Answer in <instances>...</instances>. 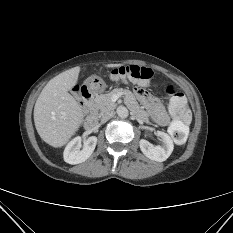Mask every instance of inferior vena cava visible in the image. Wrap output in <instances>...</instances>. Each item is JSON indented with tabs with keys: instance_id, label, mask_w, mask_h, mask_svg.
I'll return each instance as SVG.
<instances>
[{
	"instance_id": "602c4592",
	"label": "inferior vena cava",
	"mask_w": 233,
	"mask_h": 233,
	"mask_svg": "<svg viewBox=\"0 0 233 233\" xmlns=\"http://www.w3.org/2000/svg\"><path fill=\"white\" fill-rule=\"evenodd\" d=\"M115 115V112L114 111H107L105 112L102 117H101V122L102 123H105L107 122L109 119L113 118Z\"/></svg>"
}]
</instances>
